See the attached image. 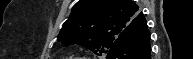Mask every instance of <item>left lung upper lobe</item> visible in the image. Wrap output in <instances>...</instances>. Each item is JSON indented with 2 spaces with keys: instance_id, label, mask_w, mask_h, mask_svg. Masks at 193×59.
<instances>
[{
  "instance_id": "left-lung-upper-lobe-1",
  "label": "left lung upper lobe",
  "mask_w": 193,
  "mask_h": 59,
  "mask_svg": "<svg viewBox=\"0 0 193 59\" xmlns=\"http://www.w3.org/2000/svg\"><path fill=\"white\" fill-rule=\"evenodd\" d=\"M142 15L132 0H79L57 40L65 46L79 44L101 56Z\"/></svg>"
}]
</instances>
